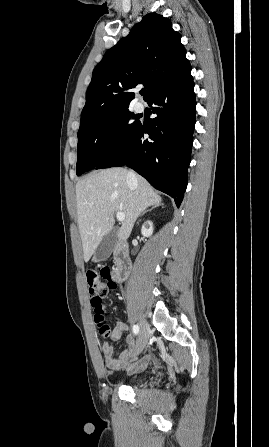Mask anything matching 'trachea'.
Returning <instances> with one entry per match:
<instances>
[{
    "label": "trachea",
    "mask_w": 269,
    "mask_h": 447,
    "mask_svg": "<svg viewBox=\"0 0 269 447\" xmlns=\"http://www.w3.org/2000/svg\"><path fill=\"white\" fill-rule=\"evenodd\" d=\"M145 93H146V90L141 91V95H145Z\"/></svg>",
    "instance_id": "1"
}]
</instances>
